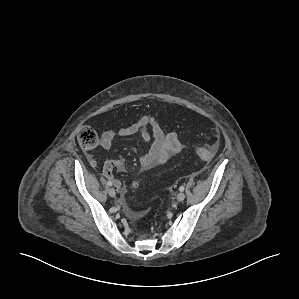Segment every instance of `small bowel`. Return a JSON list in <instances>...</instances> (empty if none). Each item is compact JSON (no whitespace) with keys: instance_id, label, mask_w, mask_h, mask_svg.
<instances>
[{"instance_id":"c3829d8e","label":"small bowel","mask_w":299,"mask_h":299,"mask_svg":"<svg viewBox=\"0 0 299 299\" xmlns=\"http://www.w3.org/2000/svg\"><path fill=\"white\" fill-rule=\"evenodd\" d=\"M140 135L147 144L145 153L140 158L142 169L149 170L166 163L172 156L182 150V145L175 133H165L154 118L144 116L137 123L121 127L119 129H109L101 134L100 146L103 149H110L115 138L118 136ZM92 165H96V160H91ZM124 171L121 161L108 159L103 166L104 175L113 180L116 187L124 191L121 181L114 177L113 172ZM139 214L134 213L137 217Z\"/></svg>"}]
</instances>
